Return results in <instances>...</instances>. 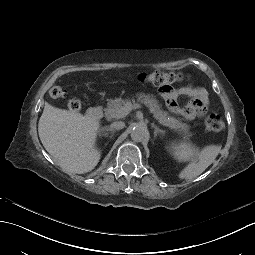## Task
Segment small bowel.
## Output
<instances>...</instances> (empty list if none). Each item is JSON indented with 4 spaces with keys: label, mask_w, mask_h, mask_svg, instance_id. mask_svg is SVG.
Listing matches in <instances>:
<instances>
[{
    "label": "small bowel",
    "mask_w": 255,
    "mask_h": 255,
    "mask_svg": "<svg viewBox=\"0 0 255 255\" xmlns=\"http://www.w3.org/2000/svg\"><path fill=\"white\" fill-rule=\"evenodd\" d=\"M178 93L190 97L191 101L185 108H180L176 104H172L171 109L173 112L181 114L188 120L204 114L209 102L208 93L204 88L186 86L179 89Z\"/></svg>",
    "instance_id": "1"
}]
</instances>
